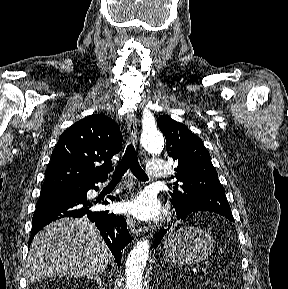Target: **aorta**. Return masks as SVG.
I'll return each mask as SVG.
<instances>
[{
    "mask_svg": "<svg viewBox=\"0 0 288 289\" xmlns=\"http://www.w3.org/2000/svg\"><path fill=\"white\" fill-rule=\"evenodd\" d=\"M142 145L151 154L160 153L164 146L162 134L155 126L144 130ZM149 255V241L142 239L136 243L126 261V289H142V276Z\"/></svg>",
    "mask_w": 288,
    "mask_h": 289,
    "instance_id": "obj_1",
    "label": "aorta"
}]
</instances>
